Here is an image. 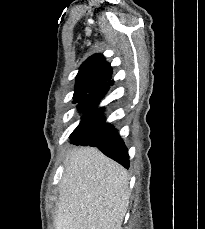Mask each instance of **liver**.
Masks as SVG:
<instances>
[{"mask_svg":"<svg viewBox=\"0 0 205 229\" xmlns=\"http://www.w3.org/2000/svg\"><path fill=\"white\" fill-rule=\"evenodd\" d=\"M128 183L127 171L98 149L74 148L65 159L56 229H122Z\"/></svg>","mask_w":205,"mask_h":229,"instance_id":"obj_1","label":"liver"}]
</instances>
